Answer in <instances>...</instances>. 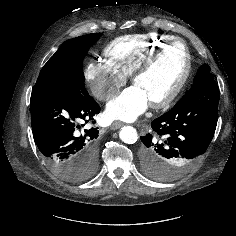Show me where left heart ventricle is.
<instances>
[{
	"label": "left heart ventricle",
	"mask_w": 236,
	"mask_h": 236,
	"mask_svg": "<svg viewBox=\"0 0 236 236\" xmlns=\"http://www.w3.org/2000/svg\"><path fill=\"white\" fill-rule=\"evenodd\" d=\"M184 71V51L179 44L164 51L153 66L135 81L149 102L161 99L176 85Z\"/></svg>",
	"instance_id": "obj_1"
}]
</instances>
